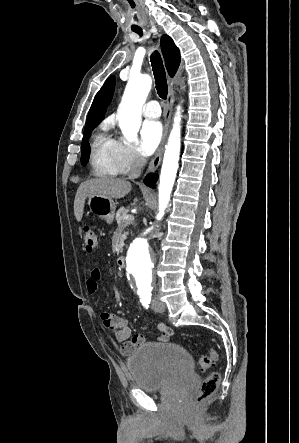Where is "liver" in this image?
Wrapping results in <instances>:
<instances>
[{
  "label": "liver",
  "mask_w": 299,
  "mask_h": 443,
  "mask_svg": "<svg viewBox=\"0 0 299 443\" xmlns=\"http://www.w3.org/2000/svg\"><path fill=\"white\" fill-rule=\"evenodd\" d=\"M131 188V183L121 178L103 177L81 183L74 200V215L76 220L78 222L82 220L85 200L89 196L98 195L105 196L112 200L120 199L128 195Z\"/></svg>",
  "instance_id": "liver-1"
}]
</instances>
